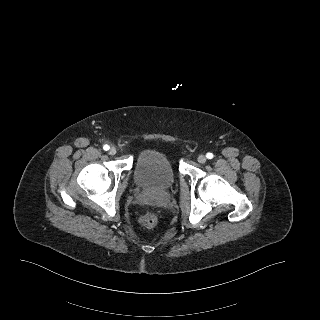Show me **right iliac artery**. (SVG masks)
Here are the masks:
<instances>
[{
  "label": "right iliac artery",
  "instance_id": "1",
  "mask_svg": "<svg viewBox=\"0 0 320 320\" xmlns=\"http://www.w3.org/2000/svg\"><path fill=\"white\" fill-rule=\"evenodd\" d=\"M109 148H110L109 145H104V146H103V149H104L105 151H108Z\"/></svg>",
  "mask_w": 320,
  "mask_h": 320
}]
</instances>
